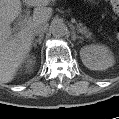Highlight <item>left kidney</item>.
<instances>
[{"label": "left kidney", "mask_w": 119, "mask_h": 119, "mask_svg": "<svg viewBox=\"0 0 119 119\" xmlns=\"http://www.w3.org/2000/svg\"><path fill=\"white\" fill-rule=\"evenodd\" d=\"M80 57L90 70H106L114 64L111 51L103 45L84 46L80 50Z\"/></svg>", "instance_id": "left-kidney-1"}]
</instances>
